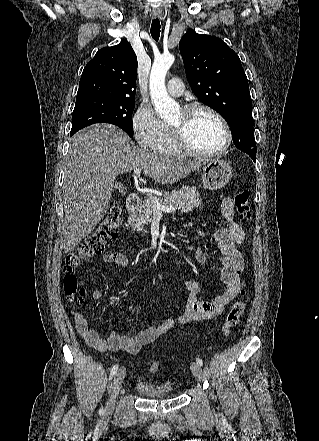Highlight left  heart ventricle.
Returning <instances> with one entry per match:
<instances>
[{"label": "left heart ventricle", "instance_id": "obj_1", "mask_svg": "<svg viewBox=\"0 0 319 441\" xmlns=\"http://www.w3.org/2000/svg\"><path fill=\"white\" fill-rule=\"evenodd\" d=\"M181 111L170 122L172 125L180 123ZM187 139L191 146L198 151L213 152L220 149L225 143V131L221 123L211 114L201 111L196 113L188 127Z\"/></svg>", "mask_w": 319, "mask_h": 441}]
</instances>
